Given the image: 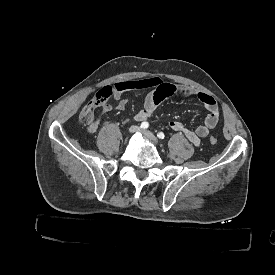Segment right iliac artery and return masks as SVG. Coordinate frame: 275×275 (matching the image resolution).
<instances>
[{
  "label": "right iliac artery",
  "instance_id": "1",
  "mask_svg": "<svg viewBox=\"0 0 275 275\" xmlns=\"http://www.w3.org/2000/svg\"><path fill=\"white\" fill-rule=\"evenodd\" d=\"M148 126H149L148 122H142L141 125H140V127H141L142 129H147Z\"/></svg>",
  "mask_w": 275,
  "mask_h": 275
}]
</instances>
